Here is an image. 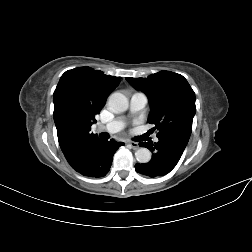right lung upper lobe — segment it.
<instances>
[{"instance_id": "1", "label": "right lung upper lobe", "mask_w": 252, "mask_h": 252, "mask_svg": "<svg viewBox=\"0 0 252 252\" xmlns=\"http://www.w3.org/2000/svg\"><path fill=\"white\" fill-rule=\"evenodd\" d=\"M120 79L90 67L68 70L61 76L53 94V117L64 156L83 141L98 137L90 132L91 125Z\"/></svg>"}]
</instances>
